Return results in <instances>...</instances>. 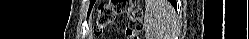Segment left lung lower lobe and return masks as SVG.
<instances>
[{"label": "left lung lower lobe", "instance_id": "0a47b994", "mask_svg": "<svg viewBox=\"0 0 249 39\" xmlns=\"http://www.w3.org/2000/svg\"><path fill=\"white\" fill-rule=\"evenodd\" d=\"M170 2L173 4V6L176 8V2L173 0H170Z\"/></svg>", "mask_w": 249, "mask_h": 39}]
</instances>
